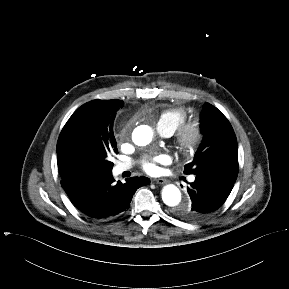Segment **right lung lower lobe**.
I'll use <instances>...</instances> for the list:
<instances>
[{
	"instance_id": "98d812e1",
	"label": "right lung lower lobe",
	"mask_w": 289,
	"mask_h": 289,
	"mask_svg": "<svg viewBox=\"0 0 289 289\" xmlns=\"http://www.w3.org/2000/svg\"><path fill=\"white\" fill-rule=\"evenodd\" d=\"M150 183L146 177L115 182L112 174L88 180L71 201L84 215L94 220L112 218L128 208L135 191Z\"/></svg>"
}]
</instances>
